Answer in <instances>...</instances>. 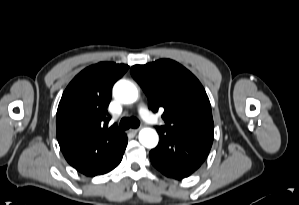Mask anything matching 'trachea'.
I'll list each match as a JSON object with an SVG mask.
<instances>
[{
    "label": "trachea",
    "mask_w": 299,
    "mask_h": 205,
    "mask_svg": "<svg viewBox=\"0 0 299 205\" xmlns=\"http://www.w3.org/2000/svg\"><path fill=\"white\" fill-rule=\"evenodd\" d=\"M140 126V122L135 117H124L121 119L119 124V129L121 131L127 130L129 128H138Z\"/></svg>",
    "instance_id": "3493384b"
}]
</instances>
